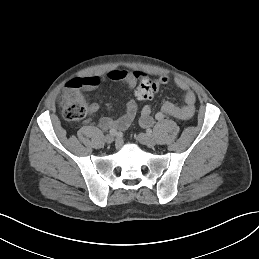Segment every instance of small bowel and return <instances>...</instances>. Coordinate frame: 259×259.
Instances as JSON below:
<instances>
[{"label": "small bowel", "mask_w": 259, "mask_h": 259, "mask_svg": "<svg viewBox=\"0 0 259 259\" xmlns=\"http://www.w3.org/2000/svg\"><path fill=\"white\" fill-rule=\"evenodd\" d=\"M149 80L155 84L158 88L161 85L167 84L169 82V77L162 75L156 80H151L147 75L139 71H125V70H112L107 74V77L101 79L96 76H90L84 78V89L93 90L97 88L101 83L105 81L118 82L128 85L130 88H135L139 81ZM176 86L184 92V102L185 104L180 106L172 102H165L161 106V110L176 119L188 120L192 118L195 114V102L196 95L189 88V86L182 80L176 79ZM100 106L97 103H93L89 106V113L94 114L98 112ZM137 113V104L134 100L127 102L125 107V112L119 118L104 117L100 120V127L104 130L115 129L123 131L127 129L132 121L134 120ZM140 124L143 127H148L152 124V115L150 106L146 105L141 110Z\"/></svg>", "instance_id": "small-bowel-1"}]
</instances>
